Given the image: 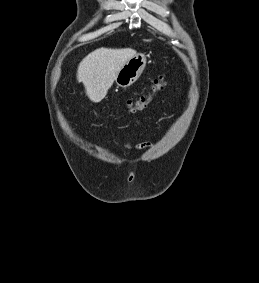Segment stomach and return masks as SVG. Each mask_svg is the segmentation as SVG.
<instances>
[{"instance_id":"stomach-1","label":"stomach","mask_w":259,"mask_h":283,"mask_svg":"<svg viewBox=\"0 0 259 283\" xmlns=\"http://www.w3.org/2000/svg\"><path fill=\"white\" fill-rule=\"evenodd\" d=\"M145 66L146 57L143 54H136L120 69L115 78L116 84L122 88L129 87L140 77Z\"/></svg>"}]
</instances>
